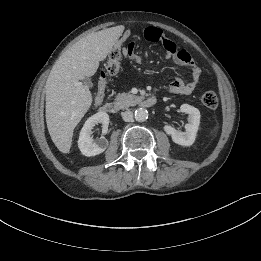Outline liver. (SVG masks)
Returning <instances> with one entry per match:
<instances>
[{
    "mask_svg": "<svg viewBox=\"0 0 261 261\" xmlns=\"http://www.w3.org/2000/svg\"><path fill=\"white\" fill-rule=\"evenodd\" d=\"M123 31L124 26H116L86 36L55 62L45 85L46 123L62 153L70 151L74 128L92 104L91 91L81 80L96 73Z\"/></svg>",
    "mask_w": 261,
    "mask_h": 261,
    "instance_id": "1",
    "label": "liver"
}]
</instances>
